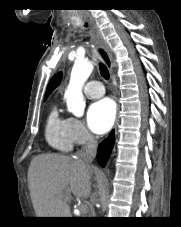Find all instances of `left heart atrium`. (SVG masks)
Here are the masks:
<instances>
[{"label": "left heart atrium", "mask_w": 181, "mask_h": 227, "mask_svg": "<svg viewBox=\"0 0 181 227\" xmlns=\"http://www.w3.org/2000/svg\"><path fill=\"white\" fill-rule=\"evenodd\" d=\"M115 120V106L110 99H101L92 103L87 112L89 128L97 134H104Z\"/></svg>", "instance_id": "left-heart-atrium-1"}]
</instances>
